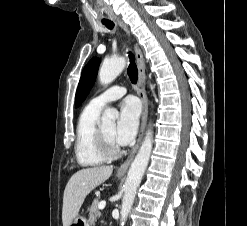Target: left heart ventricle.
Returning <instances> with one entry per match:
<instances>
[{"label": "left heart ventricle", "mask_w": 247, "mask_h": 226, "mask_svg": "<svg viewBox=\"0 0 247 226\" xmlns=\"http://www.w3.org/2000/svg\"><path fill=\"white\" fill-rule=\"evenodd\" d=\"M114 129H115V126L113 124L102 127V132H103L109 146L112 148L119 146V145H117V143L115 142V140L113 138Z\"/></svg>", "instance_id": "b2bd125f"}]
</instances>
